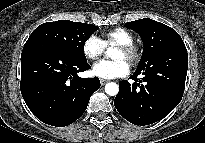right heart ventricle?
I'll use <instances>...</instances> for the list:
<instances>
[{
    "instance_id": "1",
    "label": "right heart ventricle",
    "mask_w": 205,
    "mask_h": 143,
    "mask_svg": "<svg viewBox=\"0 0 205 143\" xmlns=\"http://www.w3.org/2000/svg\"><path fill=\"white\" fill-rule=\"evenodd\" d=\"M101 41L105 48L111 46H117L120 44H130L133 43V35L124 28H115L104 32L101 36Z\"/></svg>"
}]
</instances>
